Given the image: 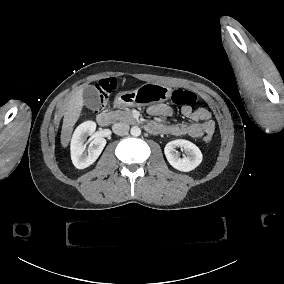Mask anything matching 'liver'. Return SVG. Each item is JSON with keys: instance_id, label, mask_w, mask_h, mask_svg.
<instances>
[{"instance_id": "6515ba94", "label": "liver", "mask_w": 284, "mask_h": 284, "mask_svg": "<svg viewBox=\"0 0 284 284\" xmlns=\"http://www.w3.org/2000/svg\"><path fill=\"white\" fill-rule=\"evenodd\" d=\"M83 92L84 87L79 88L66 98L64 104L65 114L60 134V143L63 149H66L69 146L76 122L82 114L84 108Z\"/></svg>"}]
</instances>
